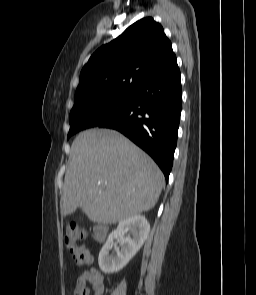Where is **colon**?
I'll use <instances>...</instances> for the list:
<instances>
[{
    "label": "colon",
    "instance_id": "obj_1",
    "mask_svg": "<svg viewBox=\"0 0 256 295\" xmlns=\"http://www.w3.org/2000/svg\"><path fill=\"white\" fill-rule=\"evenodd\" d=\"M64 232L66 246L72 253L75 263L78 265L89 264L91 257L81 244L85 237V231L79 228L76 223L69 222L66 224ZM73 295L80 294L74 293Z\"/></svg>",
    "mask_w": 256,
    "mask_h": 295
}]
</instances>
